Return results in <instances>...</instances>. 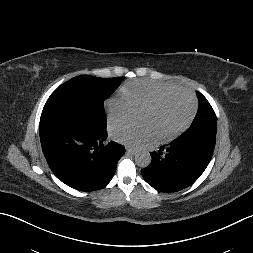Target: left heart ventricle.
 <instances>
[{
  "mask_svg": "<svg viewBox=\"0 0 253 253\" xmlns=\"http://www.w3.org/2000/svg\"><path fill=\"white\" fill-rule=\"evenodd\" d=\"M191 109L189 97L184 93H175L164 97L151 110H140L138 120L148 124L154 136L166 135L187 120Z\"/></svg>",
  "mask_w": 253,
  "mask_h": 253,
  "instance_id": "left-heart-ventricle-1",
  "label": "left heart ventricle"
}]
</instances>
